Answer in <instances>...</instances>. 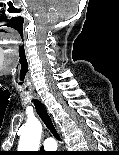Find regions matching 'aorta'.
Returning a JSON list of instances; mask_svg holds the SVG:
<instances>
[{"instance_id": "762f6f07", "label": "aorta", "mask_w": 119, "mask_h": 155, "mask_svg": "<svg viewBox=\"0 0 119 155\" xmlns=\"http://www.w3.org/2000/svg\"><path fill=\"white\" fill-rule=\"evenodd\" d=\"M42 133V125L38 120H32L23 127L18 149L20 151H37Z\"/></svg>"}]
</instances>
